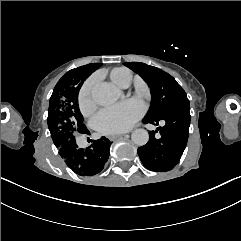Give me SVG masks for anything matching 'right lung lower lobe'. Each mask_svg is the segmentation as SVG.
<instances>
[{
    "instance_id": "1",
    "label": "right lung lower lobe",
    "mask_w": 241,
    "mask_h": 241,
    "mask_svg": "<svg viewBox=\"0 0 241 241\" xmlns=\"http://www.w3.org/2000/svg\"><path fill=\"white\" fill-rule=\"evenodd\" d=\"M90 134V133H89ZM111 142L102 137L83 149L76 143L59 147V154L67 166L80 176H93L101 172L109 158Z\"/></svg>"
}]
</instances>
